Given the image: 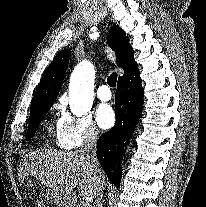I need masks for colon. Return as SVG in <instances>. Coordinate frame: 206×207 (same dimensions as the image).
<instances>
[{"mask_svg": "<svg viewBox=\"0 0 206 207\" xmlns=\"http://www.w3.org/2000/svg\"><path fill=\"white\" fill-rule=\"evenodd\" d=\"M36 207H45L44 205H38V206H36Z\"/></svg>", "mask_w": 206, "mask_h": 207, "instance_id": "1", "label": "colon"}]
</instances>
